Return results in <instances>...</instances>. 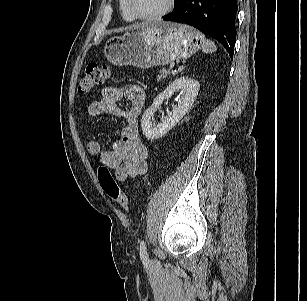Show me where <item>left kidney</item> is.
I'll use <instances>...</instances> for the list:
<instances>
[{"label": "left kidney", "instance_id": "obj_1", "mask_svg": "<svg viewBox=\"0 0 307 301\" xmlns=\"http://www.w3.org/2000/svg\"><path fill=\"white\" fill-rule=\"evenodd\" d=\"M199 88V82L190 77L182 76L175 79L154 99L152 105L144 112L141 119V128L144 136L148 140H155L171 130L191 108L198 95ZM179 90L182 97L178 100V105L173 106L172 112L168 113L166 117H162L161 123L157 126L153 125L151 122L153 113L165 99L170 98L174 92Z\"/></svg>", "mask_w": 307, "mask_h": 301}]
</instances>
